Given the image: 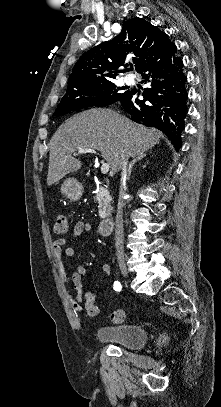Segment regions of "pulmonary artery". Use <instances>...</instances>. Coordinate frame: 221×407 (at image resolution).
I'll list each match as a JSON object with an SVG mask.
<instances>
[{"instance_id":"pulmonary-artery-1","label":"pulmonary artery","mask_w":221,"mask_h":407,"mask_svg":"<svg viewBox=\"0 0 221 407\" xmlns=\"http://www.w3.org/2000/svg\"><path fill=\"white\" fill-rule=\"evenodd\" d=\"M125 82L132 84V83H134V79H133V77H131V76H126V77H125Z\"/></svg>"}]
</instances>
